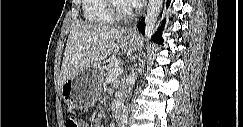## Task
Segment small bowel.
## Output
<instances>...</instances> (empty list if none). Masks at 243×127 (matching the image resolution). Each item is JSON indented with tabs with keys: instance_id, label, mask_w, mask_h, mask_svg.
<instances>
[{
	"instance_id": "obj_1",
	"label": "small bowel",
	"mask_w": 243,
	"mask_h": 127,
	"mask_svg": "<svg viewBox=\"0 0 243 127\" xmlns=\"http://www.w3.org/2000/svg\"><path fill=\"white\" fill-rule=\"evenodd\" d=\"M83 124V127H88V125L86 123H82Z\"/></svg>"
}]
</instances>
